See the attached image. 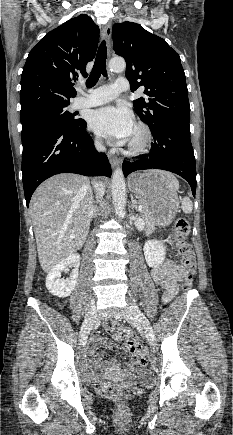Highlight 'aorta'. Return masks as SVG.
Wrapping results in <instances>:
<instances>
[{
  "label": "aorta",
  "mask_w": 233,
  "mask_h": 435,
  "mask_svg": "<svg viewBox=\"0 0 233 435\" xmlns=\"http://www.w3.org/2000/svg\"><path fill=\"white\" fill-rule=\"evenodd\" d=\"M125 67L126 63L125 60L122 58H113L109 62V69L111 72H122L124 71ZM112 200L116 215L120 219L124 218L126 203V184L123 171L119 167L116 168L112 176Z\"/></svg>",
  "instance_id": "aorta-1"
}]
</instances>
